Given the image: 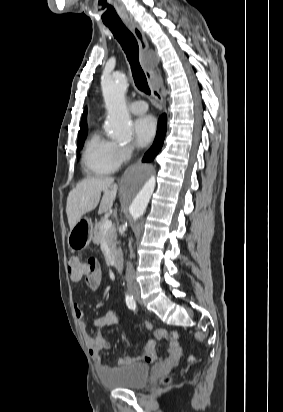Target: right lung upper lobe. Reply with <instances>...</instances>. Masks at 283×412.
<instances>
[{
    "mask_svg": "<svg viewBox=\"0 0 283 412\" xmlns=\"http://www.w3.org/2000/svg\"><path fill=\"white\" fill-rule=\"evenodd\" d=\"M86 115H87V111L85 109V111L83 113V118H82V121H81V125H80L79 135L85 134L87 132Z\"/></svg>",
    "mask_w": 283,
    "mask_h": 412,
    "instance_id": "right-lung-upper-lobe-1",
    "label": "right lung upper lobe"
}]
</instances>
